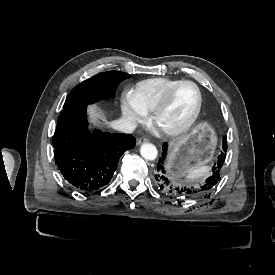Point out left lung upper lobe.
<instances>
[{
    "mask_svg": "<svg viewBox=\"0 0 275 275\" xmlns=\"http://www.w3.org/2000/svg\"><path fill=\"white\" fill-rule=\"evenodd\" d=\"M225 140H226V136L224 137V139H223V148H224V145H225Z\"/></svg>",
    "mask_w": 275,
    "mask_h": 275,
    "instance_id": "1",
    "label": "left lung upper lobe"
}]
</instances>
